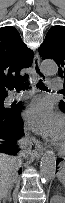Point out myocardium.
I'll return each mask as SVG.
<instances>
[{"mask_svg":"<svg viewBox=\"0 0 65 203\" xmlns=\"http://www.w3.org/2000/svg\"><path fill=\"white\" fill-rule=\"evenodd\" d=\"M56 147L59 150V152L63 153L65 152V143H60L59 141L56 143Z\"/></svg>","mask_w":65,"mask_h":203,"instance_id":"obj_1","label":"myocardium"}]
</instances>
